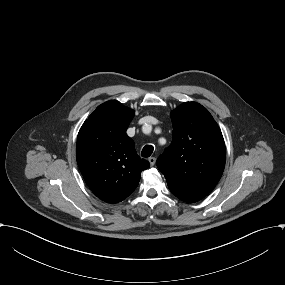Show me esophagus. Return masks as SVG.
<instances>
[{
	"mask_svg": "<svg viewBox=\"0 0 285 285\" xmlns=\"http://www.w3.org/2000/svg\"><path fill=\"white\" fill-rule=\"evenodd\" d=\"M148 161H149L150 165L153 166L156 163V158L155 157H149Z\"/></svg>",
	"mask_w": 285,
	"mask_h": 285,
	"instance_id": "1",
	"label": "esophagus"
}]
</instances>
